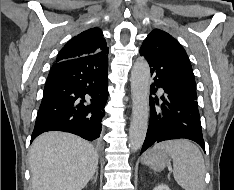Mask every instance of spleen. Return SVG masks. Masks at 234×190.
<instances>
[{"mask_svg":"<svg viewBox=\"0 0 234 190\" xmlns=\"http://www.w3.org/2000/svg\"><path fill=\"white\" fill-rule=\"evenodd\" d=\"M155 150H166L173 159V175L185 190H203L205 165L200 149L186 139L157 143Z\"/></svg>","mask_w":234,"mask_h":190,"instance_id":"spleen-1","label":"spleen"}]
</instances>
